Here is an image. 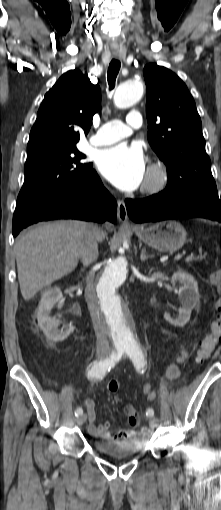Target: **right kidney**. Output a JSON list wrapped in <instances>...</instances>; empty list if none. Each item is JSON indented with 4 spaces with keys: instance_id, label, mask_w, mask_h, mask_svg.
Listing matches in <instances>:
<instances>
[{
    "instance_id": "obj_1",
    "label": "right kidney",
    "mask_w": 221,
    "mask_h": 510,
    "mask_svg": "<svg viewBox=\"0 0 221 510\" xmlns=\"http://www.w3.org/2000/svg\"><path fill=\"white\" fill-rule=\"evenodd\" d=\"M61 298L62 292L59 287L45 290L36 311L40 329L46 338L53 342L64 341L75 329L73 325H66L62 329H58L60 322L50 317L51 309Z\"/></svg>"
}]
</instances>
